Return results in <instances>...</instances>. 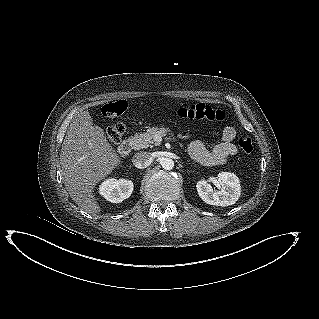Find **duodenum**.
<instances>
[{
  "instance_id": "duodenum-1",
  "label": "duodenum",
  "mask_w": 319,
  "mask_h": 319,
  "mask_svg": "<svg viewBox=\"0 0 319 319\" xmlns=\"http://www.w3.org/2000/svg\"><path fill=\"white\" fill-rule=\"evenodd\" d=\"M132 149V143L130 140H124L123 142H121V144L118 146V153L120 156L125 157L127 156Z\"/></svg>"
}]
</instances>
